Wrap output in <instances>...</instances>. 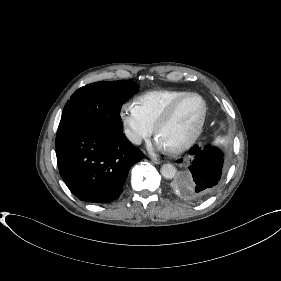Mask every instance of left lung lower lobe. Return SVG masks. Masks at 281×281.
<instances>
[{
	"mask_svg": "<svg viewBox=\"0 0 281 281\" xmlns=\"http://www.w3.org/2000/svg\"><path fill=\"white\" fill-rule=\"evenodd\" d=\"M195 157L189 166L190 177L183 184L187 198L193 201L211 196L220 186L223 174V153L217 147L207 145L203 150L194 145L188 152ZM179 159L177 163H181Z\"/></svg>",
	"mask_w": 281,
	"mask_h": 281,
	"instance_id": "left-lung-lower-lobe-1",
	"label": "left lung lower lobe"
}]
</instances>
